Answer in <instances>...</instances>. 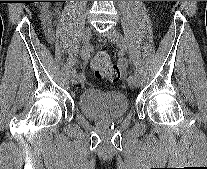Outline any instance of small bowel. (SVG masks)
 <instances>
[{
    "label": "small bowel",
    "instance_id": "small-bowel-1",
    "mask_svg": "<svg viewBox=\"0 0 207 169\" xmlns=\"http://www.w3.org/2000/svg\"><path fill=\"white\" fill-rule=\"evenodd\" d=\"M39 17L45 37L47 41L52 44L54 42V24L51 11L48 8H42L39 12Z\"/></svg>",
    "mask_w": 207,
    "mask_h": 169
}]
</instances>
